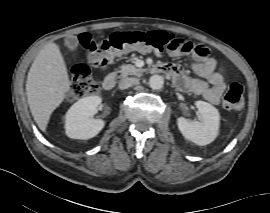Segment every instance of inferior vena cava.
Returning <instances> with one entry per match:
<instances>
[{"label": "inferior vena cava", "mask_w": 270, "mask_h": 213, "mask_svg": "<svg viewBox=\"0 0 270 213\" xmlns=\"http://www.w3.org/2000/svg\"><path fill=\"white\" fill-rule=\"evenodd\" d=\"M139 83V79L138 78H134V77H126L123 78L120 83H119V88L120 89H127L131 86H134L136 84Z\"/></svg>", "instance_id": "inferior-vena-cava-1"}]
</instances>
